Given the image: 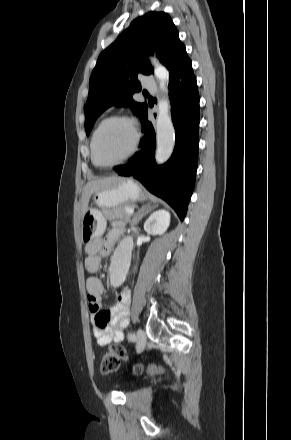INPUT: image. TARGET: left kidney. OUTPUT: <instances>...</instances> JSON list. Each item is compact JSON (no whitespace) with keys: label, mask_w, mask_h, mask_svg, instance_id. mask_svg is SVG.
Returning <instances> with one entry per match:
<instances>
[{"label":"left kidney","mask_w":291,"mask_h":440,"mask_svg":"<svg viewBox=\"0 0 291 440\" xmlns=\"http://www.w3.org/2000/svg\"><path fill=\"white\" fill-rule=\"evenodd\" d=\"M170 225V213L160 209L152 213L144 224V230L148 234L162 235Z\"/></svg>","instance_id":"5707ae66"}]
</instances>
